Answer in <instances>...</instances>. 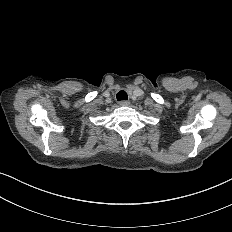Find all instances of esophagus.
I'll use <instances>...</instances> for the list:
<instances>
[{
  "mask_svg": "<svg viewBox=\"0 0 232 232\" xmlns=\"http://www.w3.org/2000/svg\"><path fill=\"white\" fill-rule=\"evenodd\" d=\"M129 104H130V102H128V101H121L120 102L121 106H129Z\"/></svg>",
  "mask_w": 232,
  "mask_h": 232,
  "instance_id": "esophagus-1",
  "label": "esophagus"
}]
</instances>
